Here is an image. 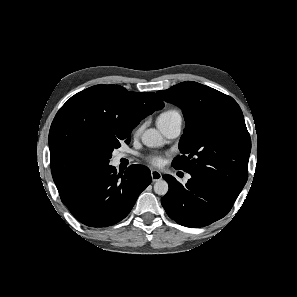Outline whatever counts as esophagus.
<instances>
[{
    "mask_svg": "<svg viewBox=\"0 0 297 297\" xmlns=\"http://www.w3.org/2000/svg\"><path fill=\"white\" fill-rule=\"evenodd\" d=\"M151 177L153 181H158L162 179V174L157 170H152Z\"/></svg>",
    "mask_w": 297,
    "mask_h": 297,
    "instance_id": "1",
    "label": "esophagus"
}]
</instances>
